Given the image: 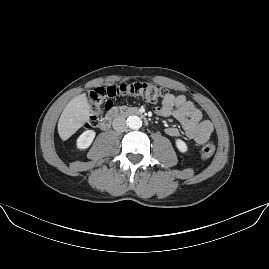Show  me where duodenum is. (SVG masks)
Listing matches in <instances>:
<instances>
[{
	"label": "duodenum",
	"mask_w": 269,
	"mask_h": 269,
	"mask_svg": "<svg viewBox=\"0 0 269 269\" xmlns=\"http://www.w3.org/2000/svg\"><path fill=\"white\" fill-rule=\"evenodd\" d=\"M128 116H143V113L135 107H114L110 109L106 116L102 119L100 127L103 130H108L111 127L113 120Z\"/></svg>",
	"instance_id": "1"
}]
</instances>
